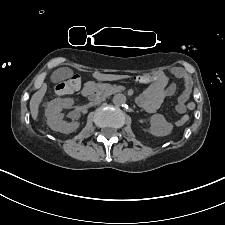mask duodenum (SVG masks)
I'll return each mask as SVG.
<instances>
[{
    "instance_id": "duodenum-1",
    "label": "duodenum",
    "mask_w": 225,
    "mask_h": 225,
    "mask_svg": "<svg viewBox=\"0 0 225 225\" xmlns=\"http://www.w3.org/2000/svg\"><path fill=\"white\" fill-rule=\"evenodd\" d=\"M82 94L84 97H95L97 94V91L91 85H87L85 89L83 90Z\"/></svg>"
}]
</instances>
